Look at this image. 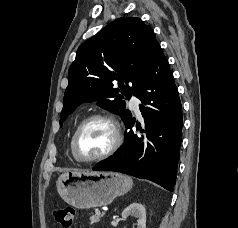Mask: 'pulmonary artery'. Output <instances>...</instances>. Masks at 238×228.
Masks as SVG:
<instances>
[{
	"label": "pulmonary artery",
	"instance_id": "e3ab8cb5",
	"mask_svg": "<svg viewBox=\"0 0 238 228\" xmlns=\"http://www.w3.org/2000/svg\"><path fill=\"white\" fill-rule=\"evenodd\" d=\"M130 106L135 112H139V100L135 97L131 98Z\"/></svg>",
	"mask_w": 238,
	"mask_h": 228
}]
</instances>
